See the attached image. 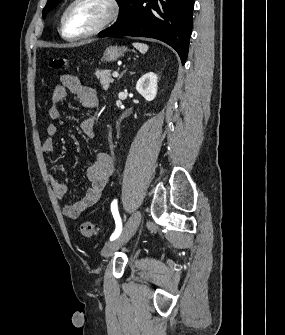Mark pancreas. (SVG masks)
Wrapping results in <instances>:
<instances>
[{
    "instance_id": "cf45deb5",
    "label": "pancreas",
    "mask_w": 285,
    "mask_h": 335,
    "mask_svg": "<svg viewBox=\"0 0 285 335\" xmlns=\"http://www.w3.org/2000/svg\"><path fill=\"white\" fill-rule=\"evenodd\" d=\"M95 76L100 80L103 90H108L110 84L114 82L113 78H111L110 70H96Z\"/></svg>"
}]
</instances>
